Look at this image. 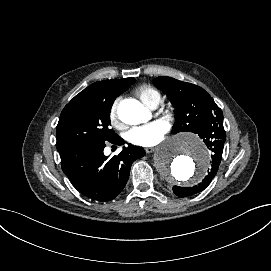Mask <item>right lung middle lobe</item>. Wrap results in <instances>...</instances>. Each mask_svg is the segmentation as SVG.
<instances>
[{
  "instance_id": "dd1d6c3e",
  "label": "right lung middle lobe",
  "mask_w": 271,
  "mask_h": 271,
  "mask_svg": "<svg viewBox=\"0 0 271 271\" xmlns=\"http://www.w3.org/2000/svg\"><path fill=\"white\" fill-rule=\"evenodd\" d=\"M134 81V78L106 80L76 95L61 112L56 132L57 150L117 139L118 135L109 128L110 110L115 98Z\"/></svg>"
}]
</instances>
